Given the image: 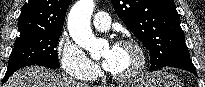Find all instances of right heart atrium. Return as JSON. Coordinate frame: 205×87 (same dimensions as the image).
Wrapping results in <instances>:
<instances>
[{
  "mask_svg": "<svg viewBox=\"0 0 205 87\" xmlns=\"http://www.w3.org/2000/svg\"><path fill=\"white\" fill-rule=\"evenodd\" d=\"M56 54L62 69L69 77L90 80L97 75V66L68 34L63 33L60 36Z\"/></svg>",
  "mask_w": 205,
  "mask_h": 87,
  "instance_id": "d8ad5b80",
  "label": "right heart atrium"
}]
</instances>
